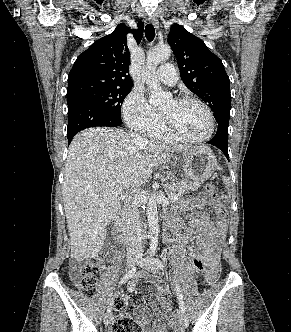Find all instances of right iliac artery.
<instances>
[{"label":"right iliac artery","mask_w":291,"mask_h":332,"mask_svg":"<svg viewBox=\"0 0 291 332\" xmlns=\"http://www.w3.org/2000/svg\"><path fill=\"white\" fill-rule=\"evenodd\" d=\"M136 267H133L131 270H129L125 276H123V278L121 279L120 284H124L127 282L128 279H130L131 277L134 276V274L136 273ZM112 307H113V298L110 300V303L108 304V307H107V312H111L112 310Z\"/></svg>","instance_id":"right-iliac-artery-1"}]
</instances>
